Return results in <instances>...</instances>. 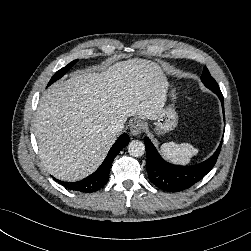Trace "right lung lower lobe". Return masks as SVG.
Returning a JSON list of instances; mask_svg holds the SVG:
<instances>
[{
    "label": "right lung lower lobe",
    "instance_id": "right-lung-lower-lobe-1",
    "mask_svg": "<svg viewBox=\"0 0 251 251\" xmlns=\"http://www.w3.org/2000/svg\"><path fill=\"white\" fill-rule=\"evenodd\" d=\"M128 143L129 136L126 133L122 134L111 147L103 163L94 173L81 181L64 182L57 180V182L67 189L85 193L95 192L101 189L109 179V172L114 158Z\"/></svg>",
    "mask_w": 251,
    "mask_h": 251
}]
</instances>
